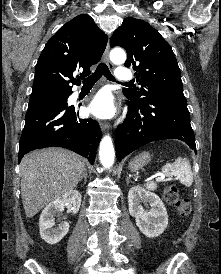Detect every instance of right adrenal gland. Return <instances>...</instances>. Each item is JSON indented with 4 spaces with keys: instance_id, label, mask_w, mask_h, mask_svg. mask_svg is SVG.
Instances as JSON below:
<instances>
[{
    "instance_id": "obj_1",
    "label": "right adrenal gland",
    "mask_w": 221,
    "mask_h": 274,
    "mask_svg": "<svg viewBox=\"0 0 221 274\" xmlns=\"http://www.w3.org/2000/svg\"><path fill=\"white\" fill-rule=\"evenodd\" d=\"M82 179H84V181H87V169L86 168H84L83 175L81 176L79 182H81Z\"/></svg>"
}]
</instances>
